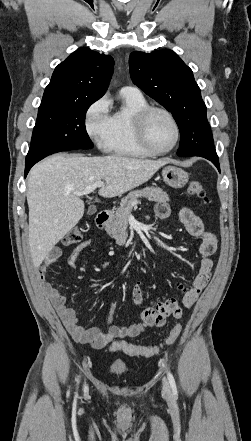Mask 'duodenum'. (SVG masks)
Segmentation results:
<instances>
[{
	"label": "duodenum",
	"instance_id": "1",
	"mask_svg": "<svg viewBox=\"0 0 251 441\" xmlns=\"http://www.w3.org/2000/svg\"><path fill=\"white\" fill-rule=\"evenodd\" d=\"M112 216L111 210H102L96 216V224L99 228H104Z\"/></svg>",
	"mask_w": 251,
	"mask_h": 441
}]
</instances>
